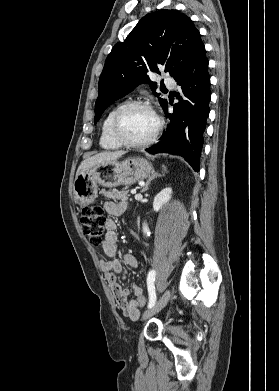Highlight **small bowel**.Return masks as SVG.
<instances>
[{
    "instance_id": "small-bowel-1",
    "label": "small bowel",
    "mask_w": 279,
    "mask_h": 391,
    "mask_svg": "<svg viewBox=\"0 0 279 391\" xmlns=\"http://www.w3.org/2000/svg\"><path fill=\"white\" fill-rule=\"evenodd\" d=\"M127 207L126 202L108 201L104 204V210L111 216H120L126 211ZM105 228L106 234L102 242V248L109 260H101L100 267L105 274V278L122 314L131 320H137L139 316L137 297L143 295L141 286L134 284L131 289H125L117 281L118 275H125L124 263L136 267L137 260L130 254H122L118 249V233L113 219H106ZM132 294L135 298L131 297Z\"/></svg>"
}]
</instances>
